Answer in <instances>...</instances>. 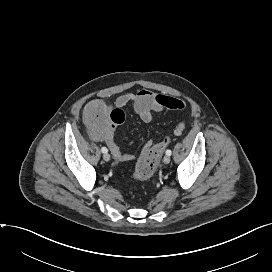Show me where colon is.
Returning <instances> with one entry per match:
<instances>
[{
  "instance_id": "colon-1",
  "label": "colon",
  "mask_w": 272,
  "mask_h": 272,
  "mask_svg": "<svg viewBox=\"0 0 272 272\" xmlns=\"http://www.w3.org/2000/svg\"><path fill=\"white\" fill-rule=\"evenodd\" d=\"M84 116L90 132L95 136L102 135L108 129L123 123L125 118L121 109H111L102 100L90 101L85 106ZM169 143L170 138L165 137L140 157L133 175L135 179L147 180L154 174L160 156Z\"/></svg>"
}]
</instances>
